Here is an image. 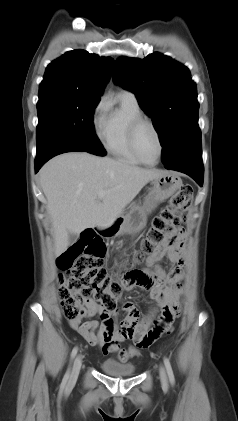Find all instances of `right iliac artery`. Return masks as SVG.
Segmentation results:
<instances>
[{"instance_id":"82829eb1","label":"right iliac artery","mask_w":238,"mask_h":421,"mask_svg":"<svg viewBox=\"0 0 238 421\" xmlns=\"http://www.w3.org/2000/svg\"><path fill=\"white\" fill-rule=\"evenodd\" d=\"M77 352H78V347H74L73 350H72V352H71V359L72 360L76 356ZM69 375H70V369H68L67 372H66V374L64 375V378L62 380V386H65V384L67 383V380L69 378Z\"/></svg>"}]
</instances>
